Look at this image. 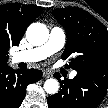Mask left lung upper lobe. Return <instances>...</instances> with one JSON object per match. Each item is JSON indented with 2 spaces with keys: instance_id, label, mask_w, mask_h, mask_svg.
Wrapping results in <instances>:
<instances>
[{
  "instance_id": "1",
  "label": "left lung upper lobe",
  "mask_w": 108,
  "mask_h": 108,
  "mask_svg": "<svg viewBox=\"0 0 108 108\" xmlns=\"http://www.w3.org/2000/svg\"><path fill=\"white\" fill-rule=\"evenodd\" d=\"M52 14L66 30L62 58L75 56L70 66L77 73L108 69V30L100 21L80 8L53 10Z\"/></svg>"
}]
</instances>
